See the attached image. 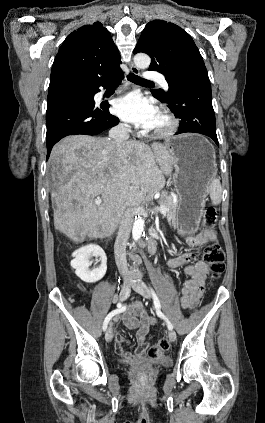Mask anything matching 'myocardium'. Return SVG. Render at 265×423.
<instances>
[{"mask_svg":"<svg viewBox=\"0 0 265 423\" xmlns=\"http://www.w3.org/2000/svg\"><path fill=\"white\" fill-rule=\"evenodd\" d=\"M158 111L166 120V125L159 129H150V133L158 137L173 135L179 128L178 119L165 107H160Z\"/></svg>","mask_w":265,"mask_h":423,"instance_id":"1","label":"myocardium"}]
</instances>
